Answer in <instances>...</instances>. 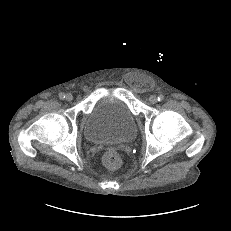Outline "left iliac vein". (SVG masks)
<instances>
[{
	"instance_id": "4c4485c4",
	"label": "left iliac vein",
	"mask_w": 231,
	"mask_h": 231,
	"mask_svg": "<svg viewBox=\"0 0 231 231\" xmlns=\"http://www.w3.org/2000/svg\"><path fill=\"white\" fill-rule=\"evenodd\" d=\"M149 101H150V103L155 104L157 102V97L152 95L149 97Z\"/></svg>"
}]
</instances>
